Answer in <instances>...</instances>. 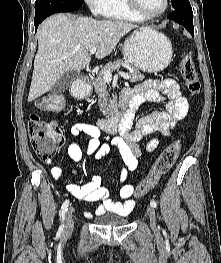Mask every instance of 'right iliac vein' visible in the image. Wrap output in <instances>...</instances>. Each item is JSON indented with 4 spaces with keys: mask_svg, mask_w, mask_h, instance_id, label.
Masks as SVG:
<instances>
[{
    "mask_svg": "<svg viewBox=\"0 0 221 263\" xmlns=\"http://www.w3.org/2000/svg\"><path fill=\"white\" fill-rule=\"evenodd\" d=\"M74 227V219H73V207H70L66 213V226L65 233H70Z\"/></svg>",
    "mask_w": 221,
    "mask_h": 263,
    "instance_id": "right-iliac-vein-1",
    "label": "right iliac vein"
}]
</instances>
